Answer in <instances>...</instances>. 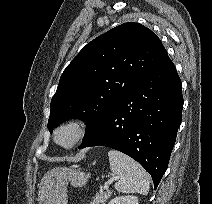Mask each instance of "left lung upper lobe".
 I'll list each match as a JSON object with an SVG mask.
<instances>
[{"label":"left lung upper lobe","mask_w":212,"mask_h":204,"mask_svg":"<svg viewBox=\"0 0 212 204\" xmlns=\"http://www.w3.org/2000/svg\"><path fill=\"white\" fill-rule=\"evenodd\" d=\"M167 56L160 39L138 23H124L89 42L61 75L48 129L70 118L87 125L83 141L104 115Z\"/></svg>","instance_id":"obj_1"}]
</instances>
